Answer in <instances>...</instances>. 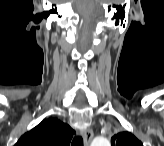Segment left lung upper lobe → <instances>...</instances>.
I'll return each instance as SVG.
<instances>
[{
	"instance_id": "5c2ea615",
	"label": "left lung upper lobe",
	"mask_w": 164,
	"mask_h": 146,
	"mask_svg": "<svg viewBox=\"0 0 164 146\" xmlns=\"http://www.w3.org/2000/svg\"><path fill=\"white\" fill-rule=\"evenodd\" d=\"M111 144L112 146H143L141 141L127 131L115 134L111 138Z\"/></svg>"
}]
</instances>
